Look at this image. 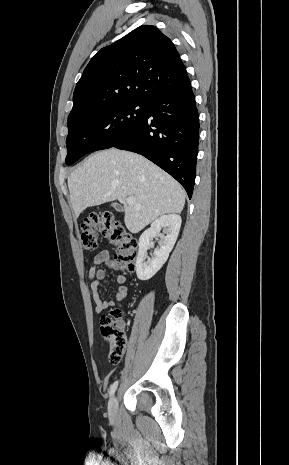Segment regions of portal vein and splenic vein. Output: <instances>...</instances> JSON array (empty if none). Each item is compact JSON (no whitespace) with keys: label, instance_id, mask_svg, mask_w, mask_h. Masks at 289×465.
Segmentation results:
<instances>
[{"label":"portal vein and splenic vein","instance_id":"18ae733b","mask_svg":"<svg viewBox=\"0 0 289 465\" xmlns=\"http://www.w3.org/2000/svg\"><path fill=\"white\" fill-rule=\"evenodd\" d=\"M126 202H127L128 204H133V203L135 202V198H134V197H128V198L126 199Z\"/></svg>","mask_w":289,"mask_h":465}]
</instances>
